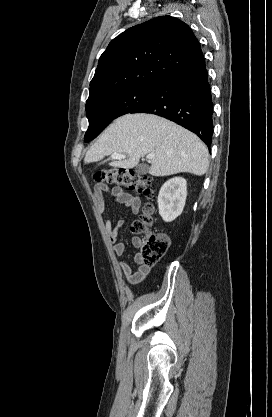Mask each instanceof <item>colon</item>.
<instances>
[{
    "instance_id": "5ec220e1",
    "label": "colon",
    "mask_w": 272,
    "mask_h": 417,
    "mask_svg": "<svg viewBox=\"0 0 272 417\" xmlns=\"http://www.w3.org/2000/svg\"><path fill=\"white\" fill-rule=\"evenodd\" d=\"M94 179L99 183H105L116 187H124L141 193L147 197L153 195L151 180L145 176L136 174L132 170L109 168L96 172ZM153 206L147 205L140 218L134 222L132 231L142 235L141 262L147 266L156 264L166 253L170 245V239L163 233H152L149 228L153 224Z\"/></svg>"
}]
</instances>
